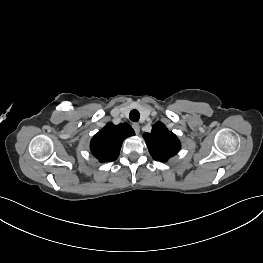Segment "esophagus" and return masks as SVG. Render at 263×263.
Here are the masks:
<instances>
[{
	"instance_id": "1",
	"label": "esophagus",
	"mask_w": 263,
	"mask_h": 263,
	"mask_svg": "<svg viewBox=\"0 0 263 263\" xmlns=\"http://www.w3.org/2000/svg\"><path fill=\"white\" fill-rule=\"evenodd\" d=\"M132 127H133L135 133L139 134V132H140V125L138 123H133Z\"/></svg>"
}]
</instances>
